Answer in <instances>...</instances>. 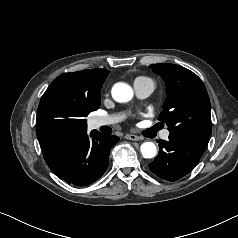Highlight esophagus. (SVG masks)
<instances>
[{
  "label": "esophagus",
  "instance_id": "obj_1",
  "mask_svg": "<svg viewBox=\"0 0 238 238\" xmlns=\"http://www.w3.org/2000/svg\"><path fill=\"white\" fill-rule=\"evenodd\" d=\"M125 138L128 139V140H131V141H139V140H141V138L139 136L134 135V134H127L125 136Z\"/></svg>",
  "mask_w": 238,
  "mask_h": 238
}]
</instances>
